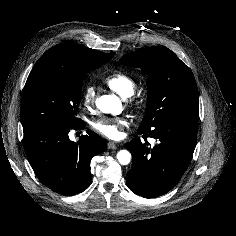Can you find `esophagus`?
I'll return each instance as SVG.
<instances>
[{
    "mask_svg": "<svg viewBox=\"0 0 236 236\" xmlns=\"http://www.w3.org/2000/svg\"><path fill=\"white\" fill-rule=\"evenodd\" d=\"M116 144L114 142H109L108 143V149H116Z\"/></svg>",
    "mask_w": 236,
    "mask_h": 236,
    "instance_id": "34e87169",
    "label": "esophagus"
}]
</instances>
